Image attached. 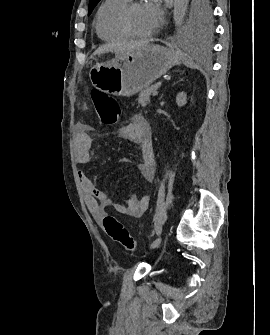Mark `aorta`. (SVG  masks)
Returning a JSON list of instances; mask_svg holds the SVG:
<instances>
[{"mask_svg": "<svg viewBox=\"0 0 270 335\" xmlns=\"http://www.w3.org/2000/svg\"><path fill=\"white\" fill-rule=\"evenodd\" d=\"M187 4L188 0H174L173 16L175 24L182 22L187 10Z\"/></svg>", "mask_w": 270, "mask_h": 335, "instance_id": "obj_1", "label": "aorta"}]
</instances>
